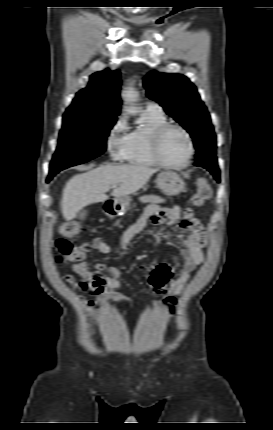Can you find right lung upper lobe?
Wrapping results in <instances>:
<instances>
[{
  "label": "right lung upper lobe",
  "mask_w": 273,
  "mask_h": 430,
  "mask_svg": "<svg viewBox=\"0 0 273 430\" xmlns=\"http://www.w3.org/2000/svg\"><path fill=\"white\" fill-rule=\"evenodd\" d=\"M120 71L109 69L90 76L89 84L80 90L66 113L95 118H116L120 113Z\"/></svg>",
  "instance_id": "cb5924a9"
}]
</instances>
